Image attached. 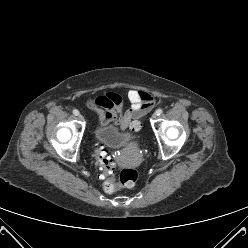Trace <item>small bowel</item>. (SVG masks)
I'll use <instances>...</instances> for the list:
<instances>
[{
	"instance_id": "c3829d8e",
	"label": "small bowel",
	"mask_w": 248,
	"mask_h": 248,
	"mask_svg": "<svg viewBox=\"0 0 248 248\" xmlns=\"http://www.w3.org/2000/svg\"><path fill=\"white\" fill-rule=\"evenodd\" d=\"M127 98L131 103V107L128 110H123L121 99L116 94L107 93L97 97L92 105L97 114L99 124L114 123L121 130L132 129V125L135 123L134 120L138 116L148 110L154 111L157 108L156 101L145 91L129 90Z\"/></svg>"
}]
</instances>
